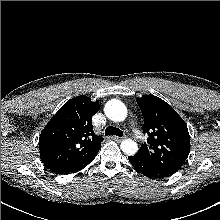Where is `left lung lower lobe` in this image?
<instances>
[{"mask_svg":"<svg viewBox=\"0 0 220 220\" xmlns=\"http://www.w3.org/2000/svg\"><path fill=\"white\" fill-rule=\"evenodd\" d=\"M132 166L141 174L149 178H164L169 177L175 172L168 171L159 165L145 159L144 157L135 154L128 158Z\"/></svg>","mask_w":220,"mask_h":220,"instance_id":"1","label":"left lung lower lobe"}]
</instances>
